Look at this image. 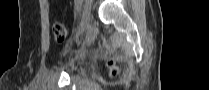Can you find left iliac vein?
<instances>
[{"label": "left iliac vein", "instance_id": "1", "mask_svg": "<svg viewBox=\"0 0 209 90\" xmlns=\"http://www.w3.org/2000/svg\"><path fill=\"white\" fill-rule=\"evenodd\" d=\"M91 7H92V3L91 1H86L84 6H83V10H82V23L83 22H88L91 18ZM76 38L78 36H81V34H83V32H87V27L86 24H79V29L78 31L76 30Z\"/></svg>", "mask_w": 209, "mask_h": 90}]
</instances>
